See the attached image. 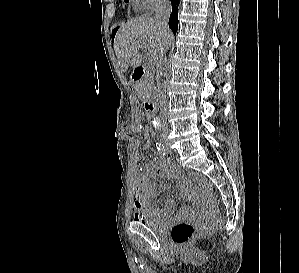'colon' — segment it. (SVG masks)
Wrapping results in <instances>:
<instances>
[{"label": "colon", "mask_w": 299, "mask_h": 273, "mask_svg": "<svg viewBox=\"0 0 299 273\" xmlns=\"http://www.w3.org/2000/svg\"><path fill=\"white\" fill-rule=\"evenodd\" d=\"M143 139V150H148L152 144L150 133H145L143 135ZM205 205L210 220L203 223H176L171 229V239L175 244L179 246L186 245L190 243L194 238L207 234L211 229L219 224V208L216 198L213 196L208 197L206 199Z\"/></svg>", "instance_id": "5ec220e1"}]
</instances>
